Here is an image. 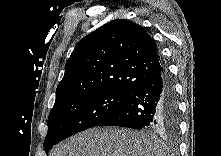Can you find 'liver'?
Segmentation results:
<instances>
[{
    "instance_id": "1",
    "label": "liver",
    "mask_w": 221,
    "mask_h": 156,
    "mask_svg": "<svg viewBox=\"0 0 221 156\" xmlns=\"http://www.w3.org/2000/svg\"><path fill=\"white\" fill-rule=\"evenodd\" d=\"M165 144L144 131L92 128L63 141L50 156H164Z\"/></svg>"
}]
</instances>
